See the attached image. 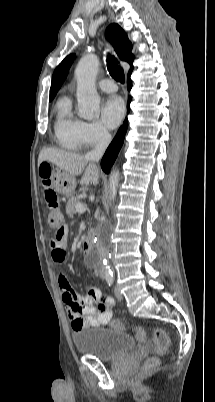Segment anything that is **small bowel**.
<instances>
[{
  "mask_svg": "<svg viewBox=\"0 0 215 402\" xmlns=\"http://www.w3.org/2000/svg\"><path fill=\"white\" fill-rule=\"evenodd\" d=\"M67 239L68 230L61 226L56 231L55 238L50 241L51 259L58 266L66 259ZM57 282L74 331L110 322L111 308L114 306L112 297H103L96 287H89L85 293L75 292L60 268L57 269Z\"/></svg>",
  "mask_w": 215,
  "mask_h": 402,
  "instance_id": "1",
  "label": "small bowel"
}]
</instances>
